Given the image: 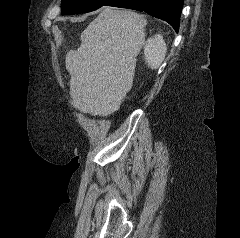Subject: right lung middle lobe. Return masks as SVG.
<instances>
[{"mask_svg":"<svg viewBox=\"0 0 240 238\" xmlns=\"http://www.w3.org/2000/svg\"><path fill=\"white\" fill-rule=\"evenodd\" d=\"M112 0H62L61 13L78 14L94 11L104 5H108Z\"/></svg>","mask_w":240,"mask_h":238,"instance_id":"dd1d6c3e","label":"right lung middle lobe"}]
</instances>
